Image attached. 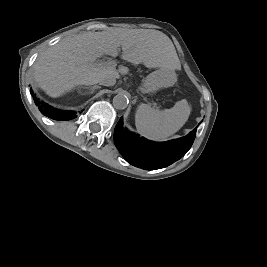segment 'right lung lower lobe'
Wrapping results in <instances>:
<instances>
[{"mask_svg":"<svg viewBox=\"0 0 267 267\" xmlns=\"http://www.w3.org/2000/svg\"><path fill=\"white\" fill-rule=\"evenodd\" d=\"M33 97H35V95H33ZM34 101L35 104L39 107V110L42 112V114L49 118L55 120H71L76 117L74 111H60L44 102L39 101L38 98H35Z\"/></svg>","mask_w":267,"mask_h":267,"instance_id":"right-lung-lower-lobe-1","label":"right lung lower lobe"}]
</instances>
